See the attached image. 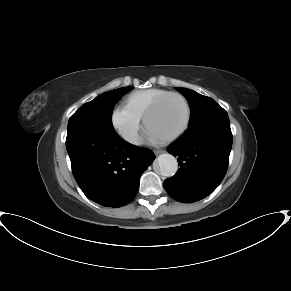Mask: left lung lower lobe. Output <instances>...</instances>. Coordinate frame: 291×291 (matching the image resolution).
I'll return each instance as SVG.
<instances>
[{"label": "left lung lower lobe", "instance_id": "left-lung-lower-lobe-1", "mask_svg": "<svg viewBox=\"0 0 291 291\" xmlns=\"http://www.w3.org/2000/svg\"><path fill=\"white\" fill-rule=\"evenodd\" d=\"M232 147L229 118L187 132L168 152L178 157V172L164 182L175 200L191 203L211 194L223 180Z\"/></svg>", "mask_w": 291, "mask_h": 291}]
</instances>
